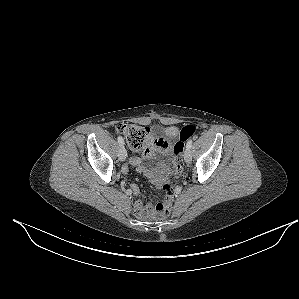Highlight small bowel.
<instances>
[{"label": "small bowel", "instance_id": "small-bowel-1", "mask_svg": "<svg viewBox=\"0 0 299 299\" xmlns=\"http://www.w3.org/2000/svg\"><path fill=\"white\" fill-rule=\"evenodd\" d=\"M148 138L140 150H134L132 151L135 153L130 159H129V165L132 166H138V172L143 173L147 175L153 183L156 185H161V183L165 180L167 177L166 171H157L154 169L146 168L143 166H140L141 158L136 155L137 152L142 151L144 157H149L151 150L154 146L161 147L164 149H171V146L164 138H157V139H151L150 129ZM165 133L169 136H177L179 134V130L175 126H168L165 128ZM123 173L128 172V165H125L122 168ZM132 193L134 195H138L139 189L136 185H132ZM134 209L137 212V214L141 217H148L151 213V206L150 205H143L142 201L138 200L135 202Z\"/></svg>", "mask_w": 299, "mask_h": 299}]
</instances>
